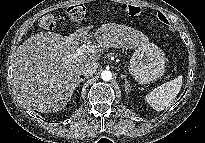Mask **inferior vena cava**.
<instances>
[{"instance_id": "1", "label": "inferior vena cava", "mask_w": 205, "mask_h": 143, "mask_svg": "<svg viewBox=\"0 0 205 143\" xmlns=\"http://www.w3.org/2000/svg\"><path fill=\"white\" fill-rule=\"evenodd\" d=\"M97 68H98L97 62L95 61L87 62L82 68V74L85 77H90L97 71Z\"/></svg>"}]
</instances>
